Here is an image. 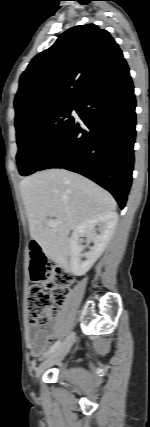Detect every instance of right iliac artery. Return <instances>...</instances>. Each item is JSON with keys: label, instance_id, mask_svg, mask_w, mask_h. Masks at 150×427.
Returning a JSON list of instances; mask_svg holds the SVG:
<instances>
[{"label": "right iliac artery", "instance_id": "obj_1", "mask_svg": "<svg viewBox=\"0 0 150 427\" xmlns=\"http://www.w3.org/2000/svg\"><path fill=\"white\" fill-rule=\"evenodd\" d=\"M60 345V341L55 342L50 349L48 350V352L45 354L46 356H49L50 354H52Z\"/></svg>", "mask_w": 150, "mask_h": 427}]
</instances>
